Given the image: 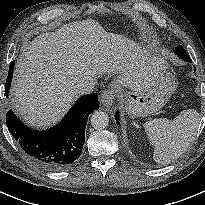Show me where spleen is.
<instances>
[{"label": "spleen", "instance_id": "1", "mask_svg": "<svg viewBox=\"0 0 205 205\" xmlns=\"http://www.w3.org/2000/svg\"><path fill=\"white\" fill-rule=\"evenodd\" d=\"M199 120V113L188 109L173 120L158 118L147 121L144 128L154 146L155 162L166 165L179 158L194 140Z\"/></svg>", "mask_w": 205, "mask_h": 205}]
</instances>
